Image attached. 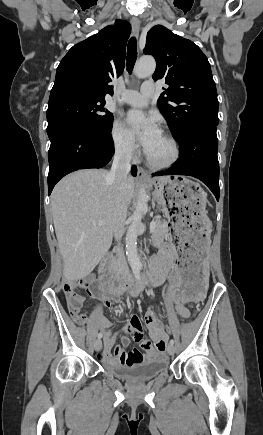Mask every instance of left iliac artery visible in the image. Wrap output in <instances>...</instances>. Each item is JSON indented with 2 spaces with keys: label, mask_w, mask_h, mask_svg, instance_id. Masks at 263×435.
Wrapping results in <instances>:
<instances>
[{
  "label": "left iliac artery",
  "mask_w": 263,
  "mask_h": 435,
  "mask_svg": "<svg viewBox=\"0 0 263 435\" xmlns=\"http://www.w3.org/2000/svg\"><path fill=\"white\" fill-rule=\"evenodd\" d=\"M170 344H171V345L174 344V340H173V339L170 340Z\"/></svg>",
  "instance_id": "obj_1"
}]
</instances>
